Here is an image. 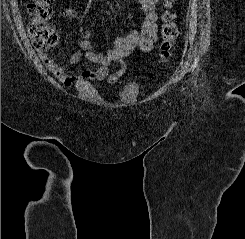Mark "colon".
I'll use <instances>...</instances> for the list:
<instances>
[{"mask_svg": "<svg viewBox=\"0 0 245 239\" xmlns=\"http://www.w3.org/2000/svg\"><path fill=\"white\" fill-rule=\"evenodd\" d=\"M175 0H165L164 12L162 14L161 44L159 50V60L167 63L172 55L179 31L176 25V15L172 11ZM54 0H32L28 5L30 21L28 24V35L32 45L40 56H45L58 41V36L48 20L52 17V3Z\"/></svg>", "mask_w": 245, "mask_h": 239, "instance_id": "obj_1", "label": "colon"}]
</instances>
